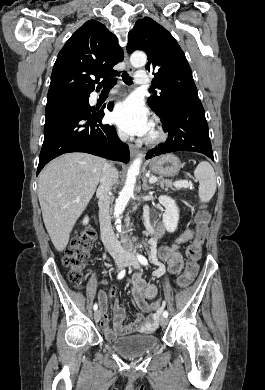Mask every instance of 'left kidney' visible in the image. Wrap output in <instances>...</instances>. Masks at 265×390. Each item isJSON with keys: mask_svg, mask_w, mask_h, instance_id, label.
Listing matches in <instances>:
<instances>
[{"mask_svg": "<svg viewBox=\"0 0 265 390\" xmlns=\"http://www.w3.org/2000/svg\"><path fill=\"white\" fill-rule=\"evenodd\" d=\"M159 203L165 207V212L163 214L164 227L168 232L172 233L177 229L179 208L176 205L175 200L166 195L159 196Z\"/></svg>", "mask_w": 265, "mask_h": 390, "instance_id": "1", "label": "left kidney"}]
</instances>
